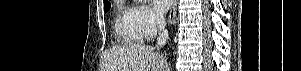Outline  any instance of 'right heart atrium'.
I'll list each match as a JSON object with an SVG mask.
<instances>
[{
	"label": "right heart atrium",
	"instance_id": "obj_1",
	"mask_svg": "<svg viewBox=\"0 0 301 71\" xmlns=\"http://www.w3.org/2000/svg\"><path fill=\"white\" fill-rule=\"evenodd\" d=\"M135 21L144 38L153 37L162 27L163 17L148 5L133 8Z\"/></svg>",
	"mask_w": 301,
	"mask_h": 71
}]
</instances>
